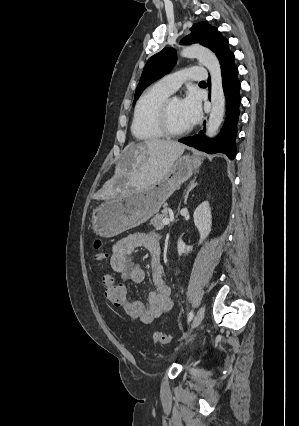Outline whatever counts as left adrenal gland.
<instances>
[{
  "label": "left adrenal gland",
  "mask_w": 299,
  "mask_h": 426,
  "mask_svg": "<svg viewBox=\"0 0 299 426\" xmlns=\"http://www.w3.org/2000/svg\"><path fill=\"white\" fill-rule=\"evenodd\" d=\"M195 180H196V177L191 181V183L188 186V189H187V191L185 193V196H184V203L185 204L187 203V199H188L190 191H192L194 189V187L197 185V183L195 182Z\"/></svg>",
  "instance_id": "obj_1"
}]
</instances>
